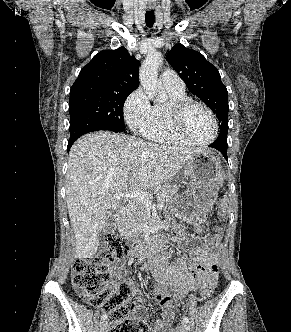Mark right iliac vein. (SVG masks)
Returning <instances> with one entry per match:
<instances>
[{"instance_id": "63e3f726", "label": "right iliac vein", "mask_w": 291, "mask_h": 332, "mask_svg": "<svg viewBox=\"0 0 291 332\" xmlns=\"http://www.w3.org/2000/svg\"><path fill=\"white\" fill-rule=\"evenodd\" d=\"M108 330V322L106 320H103L100 323V332H107Z\"/></svg>"}]
</instances>
